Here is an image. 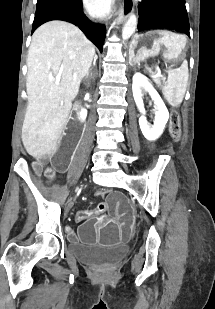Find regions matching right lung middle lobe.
I'll return each mask as SVG.
<instances>
[{
	"label": "right lung middle lobe",
	"mask_w": 215,
	"mask_h": 309,
	"mask_svg": "<svg viewBox=\"0 0 215 309\" xmlns=\"http://www.w3.org/2000/svg\"><path fill=\"white\" fill-rule=\"evenodd\" d=\"M80 0H37L36 13H43L45 11L54 9H69L75 10L82 8Z\"/></svg>",
	"instance_id": "1"
}]
</instances>
